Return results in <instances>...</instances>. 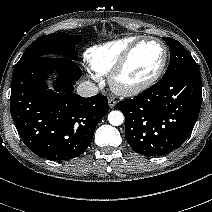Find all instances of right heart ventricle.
<instances>
[{"instance_id":"1","label":"right heart ventricle","mask_w":212,"mask_h":212,"mask_svg":"<svg viewBox=\"0 0 212 212\" xmlns=\"http://www.w3.org/2000/svg\"><path fill=\"white\" fill-rule=\"evenodd\" d=\"M138 39L136 36H129L93 46L87 50L86 60L96 74H108L126 49Z\"/></svg>"}]
</instances>
